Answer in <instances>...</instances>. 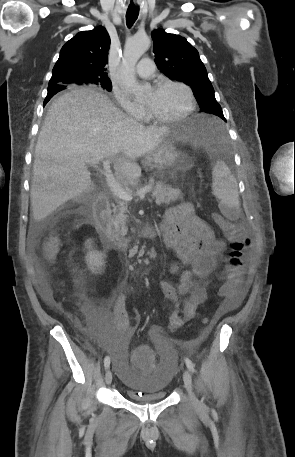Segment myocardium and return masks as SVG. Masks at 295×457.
<instances>
[{"instance_id": "obj_1", "label": "myocardium", "mask_w": 295, "mask_h": 457, "mask_svg": "<svg viewBox=\"0 0 295 457\" xmlns=\"http://www.w3.org/2000/svg\"><path fill=\"white\" fill-rule=\"evenodd\" d=\"M169 85H171V86H179V87H181L182 89L185 90V92H186V94L188 96V100H189L188 107L182 113H180V114H178L176 116L163 117V116H160V115L156 114L153 110H151L149 107L146 106L145 109H146L148 117L151 120L155 121V122H158V123H173V122H178V121L184 120L189 115H191L194 112L195 108H196L195 95H194L192 89L190 88V86H188L184 82L177 81V80H171V79H161V80H159V81H157L155 83L154 88L155 89H159V88H162L164 86H169Z\"/></svg>"}]
</instances>
